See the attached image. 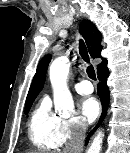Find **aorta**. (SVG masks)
I'll return each instance as SVG.
<instances>
[{"instance_id": "aorta-1", "label": "aorta", "mask_w": 130, "mask_h": 153, "mask_svg": "<svg viewBox=\"0 0 130 153\" xmlns=\"http://www.w3.org/2000/svg\"><path fill=\"white\" fill-rule=\"evenodd\" d=\"M69 69L70 63L68 58L58 57L52 62L49 70L55 111L63 116H69L74 110V101L67 86ZM103 137L104 133L98 131L88 149V153H100Z\"/></svg>"}]
</instances>
